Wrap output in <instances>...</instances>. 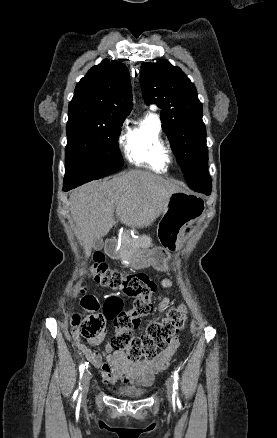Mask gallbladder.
<instances>
[{
    "instance_id": "obj_1",
    "label": "gallbladder",
    "mask_w": 277,
    "mask_h": 438,
    "mask_svg": "<svg viewBox=\"0 0 277 438\" xmlns=\"http://www.w3.org/2000/svg\"><path fill=\"white\" fill-rule=\"evenodd\" d=\"M95 248H96V251H101V248H103L102 242H96Z\"/></svg>"
}]
</instances>
